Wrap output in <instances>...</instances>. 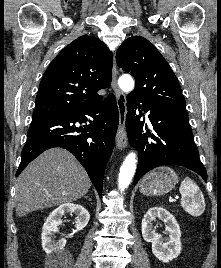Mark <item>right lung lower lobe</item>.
Returning <instances> with one entry per match:
<instances>
[{
  "label": "right lung lower lobe",
  "mask_w": 221,
  "mask_h": 268,
  "mask_svg": "<svg viewBox=\"0 0 221 268\" xmlns=\"http://www.w3.org/2000/svg\"><path fill=\"white\" fill-rule=\"evenodd\" d=\"M86 115L91 116L92 120H88ZM87 121L89 124L84 127L75 125ZM118 123L119 113L113 94L93 106L66 115L34 118L16 176L45 150L63 147L86 169L102 196L104 170L113 150Z\"/></svg>",
  "instance_id": "98d812e1"
}]
</instances>
